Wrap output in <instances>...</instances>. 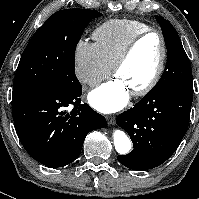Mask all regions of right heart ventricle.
Listing matches in <instances>:
<instances>
[{
  "label": "right heart ventricle",
  "instance_id": "right-heart-ventricle-1",
  "mask_svg": "<svg viewBox=\"0 0 199 199\" xmlns=\"http://www.w3.org/2000/svg\"><path fill=\"white\" fill-rule=\"evenodd\" d=\"M149 28L147 24L139 20L117 19L98 26L92 36L100 53L112 66L129 41Z\"/></svg>",
  "mask_w": 199,
  "mask_h": 199
}]
</instances>
